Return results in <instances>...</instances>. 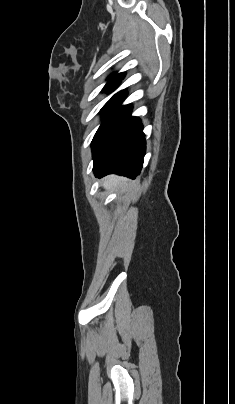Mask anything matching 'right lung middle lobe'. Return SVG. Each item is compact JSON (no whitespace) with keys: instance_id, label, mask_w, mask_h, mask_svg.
I'll return each mask as SVG.
<instances>
[{"instance_id":"1","label":"right lung middle lobe","mask_w":235,"mask_h":404,"mask_svg":"<svg viewBox=\"0 0 235 404\" xmlns=\"http://www.w3.org/2000/svg\"><path fill=\"white\" fill-rule=\"evenodd\" d=\"M117 85H106L103 89L105 92H110L112 91ZM125 91H120L117 94H115L101 109V112L103 113V117L107 115V113L122 99L124 96Z\"/></svg>"}]
</instances>
